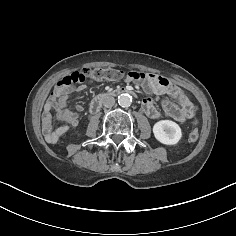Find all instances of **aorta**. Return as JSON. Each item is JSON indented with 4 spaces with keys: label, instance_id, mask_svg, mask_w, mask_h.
I'll use <instances>...</instances> for the list:
<instances>
[{
    "label": "aorta",
    "instance_id": "762f6f07",
    "mask_svg": "<svg viewBox=\"0 0 236 236\" xmlns=\"http://www.w3.org/2000/svg\"><path fill=\"white\" fill-rule=\"evenodd\" d=\"M118 103L121 107H129L132 103V96L129 94H120L118 96Z\"/></svg>",
    "mask_w": 236,
    "mask_h": 236
}]
</instances>
